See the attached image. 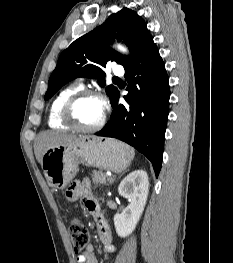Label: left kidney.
Returning <instances> with one entry per match:
<instances>
[{
	"label": "left kidney",
	"mask_w": 233,
	"mask_h": 263,
	"mask_svg": "<svg viewBox=\"0 0 233 263\" xmlns=\"http://www.w3.org/2000/svg\"><path fill=\"white\" fill-rule=\"evenodd\" d=\"M119 195L130 200L121 214L114 216L116 233L120 237L131 234L147 202L149 192L148 175L144 170H136L127 175L118 187Z\"/></svg>",
	"instance_id": "obj_1"
}]
</instances>
